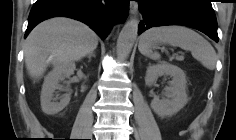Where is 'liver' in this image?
<instances>
[{"mask_svg": "<svg viewBox=\"0 0 236 140\" xmlns=\"http://www.w3.org/2000/svg\"><path fill=\"white\" fill-rule=\"evenodd\" d=\"M98 36L87 25L64 17L46 20L29 34L25 46V64L29 75L39 79L49 63L57 65L80 60L92 53Z\"/></svg>", "mask_w": 236, "mask_h": 140, "instance_id": "6515ba94", "label": "liver"}]
</instances>
